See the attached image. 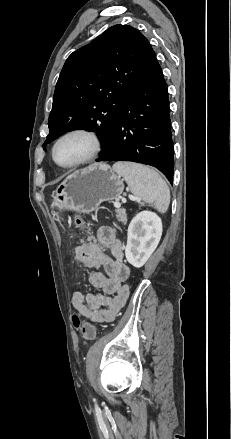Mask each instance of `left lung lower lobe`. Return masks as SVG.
Segmentation results:
<instances>
[{"label":"left lung lower lobe","instance_id":"obj_1","mask_svg":"<svg viewBox=\"0 0 231 439\" xmlns=\"http://www.w3.org/2000/svg\"><path fill=\"white\" fill-rule=\"evenodd\" d=\"M168 88L154 51L124 101L96 161H132L156 167L173 182Z\"/></svg>","mask_w":231,"mask_h":439}]
</instances>
